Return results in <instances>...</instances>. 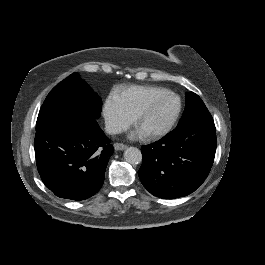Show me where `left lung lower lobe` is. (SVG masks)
<instances>
[{"label":"left lung lower lobe","instance_id":"0a47b994","mask_svg":"<svg viewBox=\"0 0 265 265\" xmlns=\"http://www.w3.org/2000/svg\"><path fill=\"white\" fill-rule=\"evenodd\" d=\"M216 129L211 114L178 123L161 140L141 148L138 171L144 187L163 199L194 192L206 179L216 151Z\"/></svg>","mask_w":265,"mask_h":265}]
</instances>
